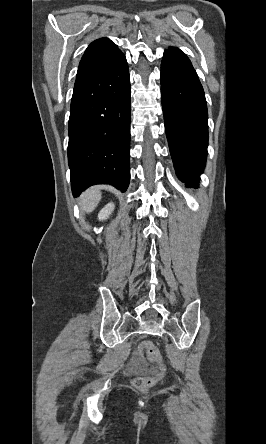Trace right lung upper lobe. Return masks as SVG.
Masks as SVG:
<instances>
[{
	"label": "right lung upper lobe",
	"mask_w": 266,
	"mask_h": 444,
	"mask_svg": "<svg viewBox=\"0 0 266 444\" xmlns=\"http://www.w3.org/2000/svg\"><path fill=\"white\" fill-rule=\"evenodd\" d=\"M122 55L111 40L101 38L93 41L80 61L74 90H77L105 72Z\"/></svg>",
	"instance_id": "right-lung-upper-lobe-1"
}]
</instances>
